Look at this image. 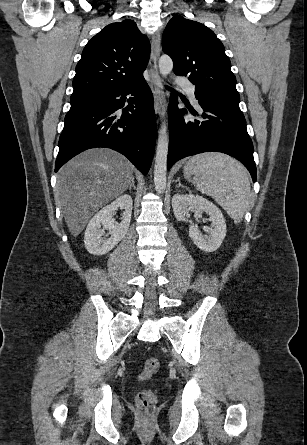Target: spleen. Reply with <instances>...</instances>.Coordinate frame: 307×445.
<instances>
[{
  "label": "spleen",
  "mask_w": 307,
  "mask_h": 445,
  "mask_svg": "<svg viewBox=\"0 0 307 445\" xmlns=\"http://www.w3.org/2000/svg\"><path fill=\"white\" fill-rule=\"evenodd\" d=\"M183 172L197 190L215 198L233 218L235 225L241 223L246 210L252 208L247 170L232 156L223 152L195 154L186 162Z\"/></svg>",
  "instance_id": "1"
}]
</instances>
